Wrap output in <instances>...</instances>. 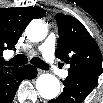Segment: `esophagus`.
<instances>
[{
  "instance_id": "obj_1",
  "label": "esophagus",
  "mask_w": 103,
  "mask_h": 103,
  "mask_svg": "<svg viewBox=\"0 0 103 103\" xmlns=\"http://www.w3.org/2000/svg\"><path fill=\"white\" fill-rule=\"evenodd\" d=\"M42 73H44V71L41 69H38V74H42Z\"/></svg>"
}]
</instances>
